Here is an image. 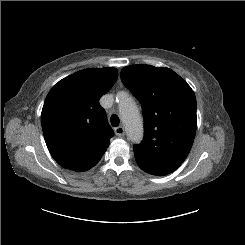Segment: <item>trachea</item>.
<instances>
[{
    "mask_svg": "<svg viewBox=\"0 0 245 245\" xmlns=\"http://www.w3.org/2000/svg\"><path fill=\"white\" fill-rule=\"evenodd\" d=\"M119 123H120L119 117L117 115H115V114L112 115L111 116V124H112V126L117 127L119 125Z\"/></svg>",
    "mask_w": 245,
    "mask_h": 245,
    "instance_id": "trachea-1",
    "label": "trachea"
}]
</instances>
